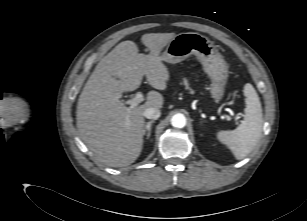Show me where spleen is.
<instances>
[{
  "label": "spleen",
  "instance_id": "3e777b00",
  "mask_svg": "<svg viewBox=\"0 0 307 221\" xmlns=\"http://www.w3.org/2000/svg\"><path fill=\"white\" fill-rule=\"evenodd\" d=\"M246 97L245 117L235 130L217 132V139L226 145L236 159H244L256 147L262 132L263 115L259 96L254 87L244 86Z\"/></svg>",
  "mask_w": 307,
  "mask_h": 221
}]
</instances>
